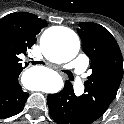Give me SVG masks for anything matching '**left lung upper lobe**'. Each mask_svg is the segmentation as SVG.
Masks as SVG:
<instances>
[{
	"instance_id": "left-lung-upper-lobe-1",
	"label": "left lung upper lobe",
	"mask_w": 124,
	"mask_h": 124,
	"mask_svg": "<svg viewBox=\"0 0 124 124\" xmlns=\"http://www.w3.org/2000/svg\"><path fill=\"white\" fill-rule=\"evenodd\" d=\"M78 34L91 60L92 73L85 82L80 103L90 123L101 117L116 97L123 77V58L112 34L103 26L81 22Z\"/></svg>"
}]
</instances>
